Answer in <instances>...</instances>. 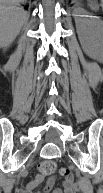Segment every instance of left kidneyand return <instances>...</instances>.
Wrapping results in <instances>:
<instances>
[{"instance_id": "left-kidney-1", "label": "left kidney", "mask_w": 103, "mask_h": 193, "mask_svg": "<svg viewBox=\"0 0 103 193\" xmlns=\"http://www.w3.org/2000/svg\"><path fill=\"white\" fill-rule=\"evenodd\" d=\"M86 12L82 8L74 10L76 29L79 41L84 52L95 60L102 59V22L96 16L85 19ZM88 17V16H87Z\"/></svg>"}]
</instances>
